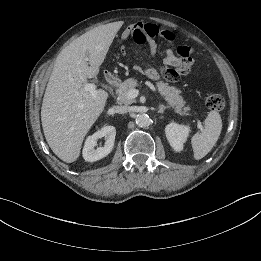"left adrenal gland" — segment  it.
<instances>
[{
    "label": "left adrenal gland",
    "instance_id": "1",
    "mask_svg": "<svg viewBox=\"0 0 261 261\" xmlns=\"http://www.w3.org/2000/svg\"><path fill=\"white\" fill-rule=\"evenodd\" d=\"M168 108H169V106H164V105L160 104L157 112L161 114Z\"/></svg>",
    "mask_w": 261,
    "mask_h": 261
}]
</instances>
